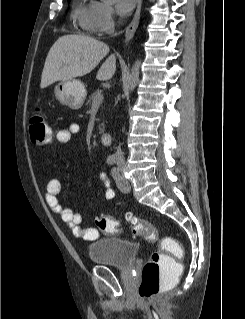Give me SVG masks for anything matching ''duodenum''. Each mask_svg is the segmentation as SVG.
<instances>
[{"mask_svg":"<svg viewBox=\"0 0 245 319\" xmlns=\"http://www.w3.org/2000/svg\"><path fill=\"white\" fill-rule=\"evenodd\" d=\"M111 140H112V137L109 132H104L101 135V141L104 145L109 146L111 144Z\"/></svg>","mask_w":245,"mask_h":319,"instance_id":"1","label":"duodenum"}]
</instances>
